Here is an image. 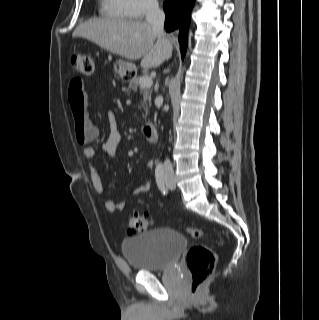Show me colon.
Listing matches in <instances>:
<instances>
[{"label": "colon", "mask_w": 319, "mask_h": 320, "mask_svg": "<svg viewBox=\"0 0 319 320\" xmlns=\"http://www.w3.org/2000/svg\"><path fill=\"white\" fill-rule=\"evenodd\" d=\"M71 67L79 75L90 77L94 72V60L90 55L77 53L71 57ZM75 137L78 143L85 144L95 138L94 130L88 125L82 114L73 116ZM153 220L146 215L132 214L126 221L127 230L138 234L152 225ZM187 234L199 239L205 232L198 228H188ZM217 262V255L208 245H195L186 255V265L191 275L190 292L193 296L200 294L202 284L213 274Z\"/></svg>", "instance_id": "obj_1"}]
</instances>
